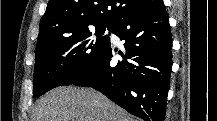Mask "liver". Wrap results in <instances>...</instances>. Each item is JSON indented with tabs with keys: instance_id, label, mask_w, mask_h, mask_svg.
I'll return each mask as SVG.
<instances>
[{
	"instance_id": "liver-1",
	"label": "liver",
	"mask_w": 217,
	"mask_h": 121,
	"mask_svg": "<svg viewBox=\"0 0 217 121\" xmlns=\"http://www.w3.org/2000/svg\"><path fill=\"white\" fill-rule=\"evenodd\" d=\"M34 121H131L127 112L90 88L58 87L40 98Z\"/></svg>"
}]
</instances>
